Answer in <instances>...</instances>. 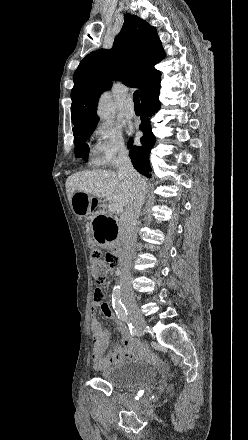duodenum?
I'll return each mask as SVG.
<instances>
[{"label": "duodenum", "instance_id": "1", "mask_svg": "<svg viewBox=\"0 0 248 440\" xmlns=\"http://www.w3.org/2000/svg\"><path fill=\"white\" fill-rule=\"evenodd\" d=\"M112 253L116 256H120L121 254V248H120V244L118 241H116L115 246L111 247Z\"/></svg>", "mask_w": 248, "mask_h": 440}]
</instances>
